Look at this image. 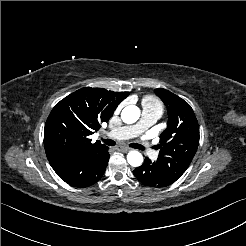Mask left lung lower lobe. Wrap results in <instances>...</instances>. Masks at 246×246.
I'll list each match as a JSON object with an SVG mask.
<instances>
[{
	"label": "left lung lower lobe",
	"mask_w": 246,
	"mask_h": 246,
	"mask_svg": "<svg viewBox=\"0 0 246 246\" xmlns=\"http://www.w3.org/2000/svg\"><path fill=\"white\" fill-rule=\"evenodd\" d=\"M133 173L140 182L149 187H166L178 180L170 171L157 162H151L147 157L140 167L135 168Z\"/></svg>",
	"instance_id": "obj_1"
}]
</instances>
